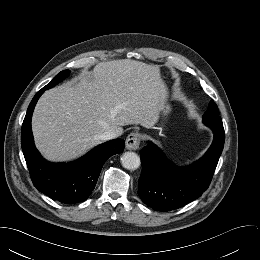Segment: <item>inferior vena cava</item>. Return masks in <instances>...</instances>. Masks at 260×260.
I'll list each match as a JSON object with an SVG mask.
<instances>
[{
    "label": "inferior vena cava",
    "instance_id": "inferior-vena-cava-1",
    "mask_svg": "<svg viewBox=\"0 0 260 260\" xmlns=\"http://www.w3.org/2000/svg\"><path fill=\"white\" fill-rule=\"evenodd\" d=\"M116 137H118V135L112 130L105 131L104 133H102L99 136L100 140H102V141L111 140V139H114Z\"/></svg>",
    "mask_w": 260,
    "mask_h": 260
}]
</instances>
